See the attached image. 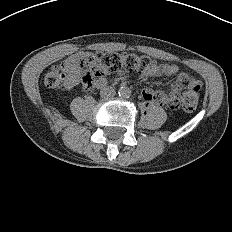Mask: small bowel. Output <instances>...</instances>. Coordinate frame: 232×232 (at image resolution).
I'll list each match as a JSON object with an SVG mask.
<instances>
[{"label":"small bowel","instance_id":"small-bowel-1","mask_svg":"<svg viewBox=\"0 0 232 232\" xmlns=\"http://www.w3.org/2000/svg\"><path fill=\"white\" fill-rule=\"evenodd\" d=\"M63 64H64V71L67 73V77L65 80V86L67 89L72 90L79 83L81 69L75 64L74 58H70L66 60L65 62H63ZM179 71L180 70L177 65L164 63V64L156 65L149 71L142 73V74L145 76H161V75L171 76V75L178 74ZM181 78L188 79L191 86L201 88L202 83L199 79L190 77L186 73H179L177 80ZM97 82L101 84V87H104L106 84V80L104 78H100ZM159 93L161 92H153L150 89H144L142 92V98L148 102H152V101L155 102V96Z\"/></svg>","mask_w":232,"mask_h":232}]
</instances>
